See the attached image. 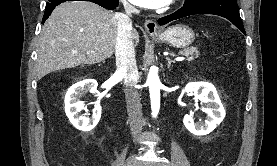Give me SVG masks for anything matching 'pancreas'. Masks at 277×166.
Returning <instances> with one entry per match:
<instances>
[{
  "label": "pancreas",
  "mask_w": 277,
  "mask_h": 166,
  "mask_svg": "<svg viewBox=\"0 0 277 166\" xmlns=\"http://www.w3.org/2000/svg\"><path fill=\"white\" fill-rule=\"evenodd\" d=\"M181 54L188 56L189 60H193L195 58H198L199 56V51L196 47H190L187 49H184L180 51Z\"/></svg>",
  "instance_id": "obj_1"
}]
</instances>
